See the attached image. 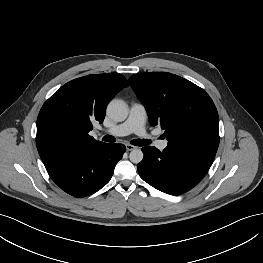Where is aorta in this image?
<instances>
[{
  "mask_svg": "<svg viewBox=\"0 0 263 263\" xmlns=\"http://www.w3.org/2000/svg\"><path fill=\"white\" fill-rule=\"evenodd\" d=\"M108 116L116 121L122 122L128 116V108L124 101L122 100H112L107 106ZM143 152L140 149H133L129 154V159L132 163H140L143 159Z\"/></svg>",
  "mask_w": 263,
  "mask_h": 263,
  "instance_id": "1",
  "label": "aorta"
}]
</instances>
